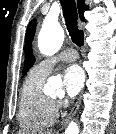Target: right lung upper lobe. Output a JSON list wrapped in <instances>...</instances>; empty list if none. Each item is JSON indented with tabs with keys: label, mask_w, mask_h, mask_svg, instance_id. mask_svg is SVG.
Here are the masks:
<instances>
[{
	"label": "right lung upper lobe",
	"mask_w": 116,
	"mask_h": 134,
	"mask_svg": "<svg viewBox=\"0 0 116 134\" xmlns=\"http://www.w3.org/2000/svg\"><path fill=\"white\" fill-rule=\"evenodd\" d=\"M77 6H78V12H79V16H80L81 21H85L83 13L85 10L88 9V6L85 5L84 0H77Z\"/></svg>",
	"instance_id": "1"
}]
</instances>
